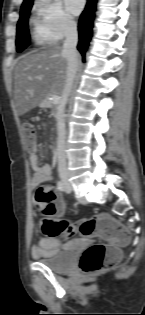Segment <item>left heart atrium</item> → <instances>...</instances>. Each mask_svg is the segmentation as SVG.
I'll list each match as a JSON object with an SVG mask.
<instances>
[{"instance_id":"39dd6f15","label":"left heart atrium","mask_w":145,"mask_h":315,"mask_svg":"<svg viewBox=\"0 0 145 315\" xmlns=\"http://www.w3.org/2000/svg\"><path fill=\"white\" fill-rule=\"evenodd\" d=\"M65 5L69 13L78 15L85 5V0H65Z\"/></svg>"}]
</instances>
